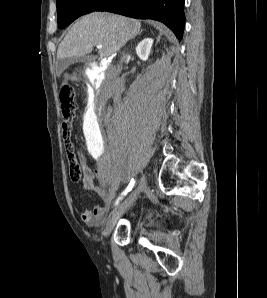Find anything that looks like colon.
<instances>
[{"instance_id": "1", "label": "colon", "mask_w": 267, "mask_h": 298, "mask_svg": "<svg viewBox=\"0 0 267 298\" xmlns=\"http://www.w3.org/2000/svg\"><path fill=\"white\" fill-rule=\"evenodd\" d=\"M61 108L64 117L63 122V140L66 157L69 167V176L72 182L78 183L82 179L83 170L78 161L70 140V123L73 119L75 111V101L72 89L69 86H64L60 92Z\"/></svg>"}]
</instances>
